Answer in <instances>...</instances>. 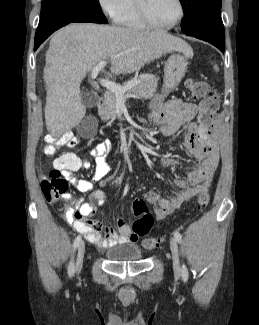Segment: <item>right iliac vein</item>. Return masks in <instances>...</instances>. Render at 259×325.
Wrapping results in <instances>:
<instances>
[{
    "label": "right iliac vein",
    "instance_id": "63e3f726",
    "mask_svg": "<svg viewBox=\"0 0 259 325\" xmlns=\"http://www.w3.org/2000/svg\"><path fill=\"white\" fill-rule=\"evenodd\" d=\"M85 254V244L84 242H81L78 248L77 258H76V270L77 272H80L82 269L83 264V258Z\"/></svg>",
    "mask_w": 259,
    "mask_h": 325
}]
</instances>
